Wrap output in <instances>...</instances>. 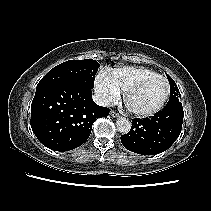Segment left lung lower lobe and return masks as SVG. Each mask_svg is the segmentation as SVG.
<instances>
[{"label":"left lung lower lobe","instance_id":"left-lung-lower-lobe-1","mask_svg":"<svg viewBox=\"0 0 211 211\" xmlns=\"http://www.w3.org/2000/svg\"><path fill=\"white\" fill-rule=\"evenodd\" d=\"M183 116L181 102L167 104L154 116L133 119L131 130L121 136V142L126 149L138 154H159L180 135Z\"/></svg>","mask_w":211,"mask_h":211}]
</instances>
